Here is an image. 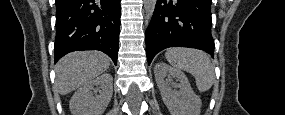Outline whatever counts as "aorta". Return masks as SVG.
<instances>
[{
  "instance_id": "aorta-1",
  "label": "aorta",
  "mask_w": 285,
  "mask_h": 115,
  "mask_svg": "<svg viewBox=\"0 0 285 115\" xmlns=\"http://www.w3.org/2000/svg\"><path fill=\"white\" fill-rule=\"evenodd\" d=\"M156 2V0H144V9L147 17H152L155 10Z\"/></svg>"
}]
</instances>
